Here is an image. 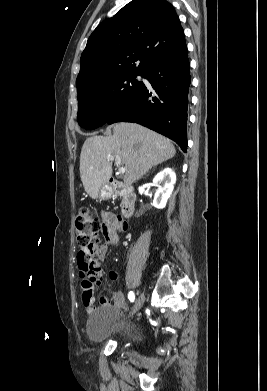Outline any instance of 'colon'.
<instances>
[{"label":"colon","mask_w":267,"mask_h":391,"mask_svg":"<svg viewBox=\"0 0 267 391\" xmlns=\"http://www.w3.org/2000/svg\"><path fill=\"white\" fill-rule=\"evenodd\" d=\"M77 243L81 253L97 254L104 245L100 239L103 223L89 209L81 208L75 220Z\"/></svg>","instance_id":"obj_1"}]
</instances>
